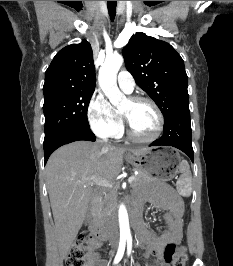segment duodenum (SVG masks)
Here are the masks:
<instances>
[{"instance_id": "410a0bca", "label": "duodenum", "mask_w": 233, "mask_h": 266, "mask_svg": "<svg viewBox=\"0 0 233 266\" xmlns=\"http://www.w3.org/2000/svg\"><path fill=\"white\" fill-rule=\"evenodd\" d=\"M99 195L100 193L96 191L93 196L91 204V220L89 224L90 233L97 239L105 242L108 241L111 236V230L99 220ZM131 215L134 217L135 221L139 220V209L135 204H132L129 208Z\"/></svg>"}]
</instances>
